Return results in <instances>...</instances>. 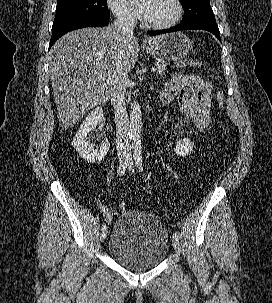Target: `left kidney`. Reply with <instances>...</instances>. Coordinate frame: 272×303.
<instances>
[{
	"instance_id": "obj_1",
	"label": "left kidney",
	"mask_w": 272,
	"mask_h": 303,
	"mask_svg": "<svg viewBox=\"0 0 272 303\" xmlns=\"http://www.w3.org/2000/svg\"><path fill=\"white\" fill-rule=\"evenodd\" d=\"M193 142L188 138L180 139L176 142L175 153L178 156H186L193 151Z\"/></svg>"
}]
</instances>
